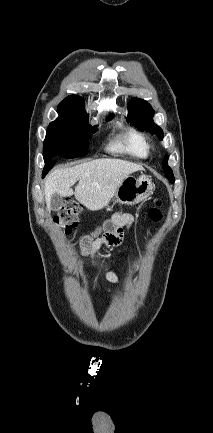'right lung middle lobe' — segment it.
I'll return each mask as SVG.
<instances>
[{"label":"right lung middle lobe","mask_w":213,"mask_h":433,"mask_svg":"<svg viewBox=\"0 0 213 433\" xmlns=\"http://www.w3.org/2000/svg\"><path fill=\"white\" fill-rule=\"evenodd\" d=\"M59 117L51 122L44 140V161L57 156L82 157L89 147L88 138L97 131L96 126L87 127L88 119L58 110Z\"/></svg>","instance_id":"1"}]
</instances>
